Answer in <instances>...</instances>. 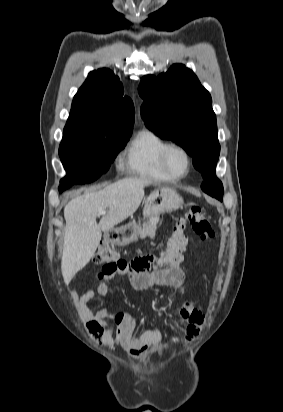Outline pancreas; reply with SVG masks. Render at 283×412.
<instances>
[{"label": "pancreas", "instance_id": "pancreas-1", "mask_svg": "<svg viewBox=\"0 0 283 412\" xmlns=\"http://www.w3.org/2000/svg\"><path fill=\"white\" fill-rule=\"evenodd\" d=\"M157 229V221H148L143 223L142 227L138 228L137 234L140 236V238H145V237H155V232Z\"/></svg>", "mask_w": 283, "mask_h": 412}]
</instances>
